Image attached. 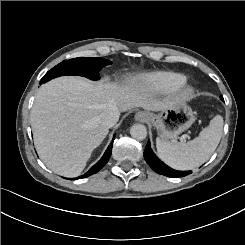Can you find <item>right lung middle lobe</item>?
<instances>
[{
	"label": "right lung middle lobe",
	"instance_id": "dd1d6c3e",
	"mask_svg": "<svg viewBox=\"0 0 245 245\" xmlns=\"http://www.w3.org/2000/svg\"><path fill=\"white\" fill-rule=\"evenodd\" d=\"M110 64V61L99 57L64 60L48 71L41 79L40 84L63 75H81L92 80H98L100 78L99 71Z\"/></svg>",
	"mask_w": 245,
	"mask_h": 245
}]
</instances>
